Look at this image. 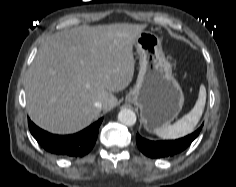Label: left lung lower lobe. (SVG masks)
<instances>
[{
  "instance_id": "obj_1",
  "label": "left lung lower lobe",
  "mask_w": 236,
  "mask_h": 187,
  "mask_svg": "<svg viewBox=\"0 0 236 187\" xmlns=\"http://www.w3.org/2000/svg\"><path fill=\"white\" fill-rule=\"evenodd\" d=\"M201 128L181 139L168 141H150L137 134L136 142L139 150L150 158L171 157L185 150L199 135Z\"/></svg>"
}]
</instances>
